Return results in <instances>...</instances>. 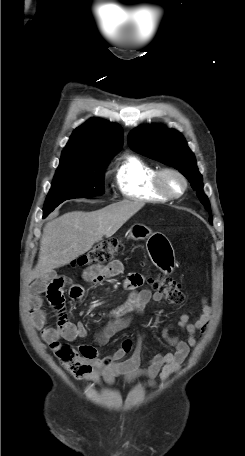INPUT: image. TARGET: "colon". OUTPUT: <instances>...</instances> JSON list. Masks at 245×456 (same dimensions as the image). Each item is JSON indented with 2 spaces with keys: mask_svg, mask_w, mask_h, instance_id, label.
Returning a JSON list of instances; mask_svg holds the SVG:
<instances>
[{
  "mask_svg": "<svg viewBox=\"0 0 245 456\" xmlns=\"http://www.w3.org/2000/svg\"><path fill=\"white\" fill-rule=\"evenodd\" d=\"M121 245L122 241L119 238L108 239L77 258L72 262V266L82 267L108 264L113 261ZM149 284L154 290L161 292L166 302L170 304H180L184 301L185 296L179 283L168 276L159 274L151 277ZM50 347L63 367L73 376H83L90 370V366L84 361V353L81 350L75 349L69 343L54 341L50 344Z\"/></svg>",
  "mask_w": 245,
  "mask_h": 456,
  "instance_id": "1",
  "label": "colon"
}]
</instances>
